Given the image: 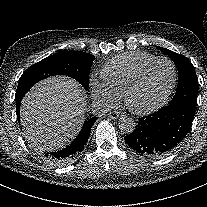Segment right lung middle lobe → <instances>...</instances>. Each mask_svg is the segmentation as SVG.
Listing matches in <instances>:
<instances>
[{"mask_svg":"<svg viewBox=\"0 0 207 207\" xmlns=\"http://www.w3.org/2000/svg\"><path fill=\"white\" fill-rule=\"evenodd\" d=\"M95 57L81 51H63L30 66L20 77L15 99L22 98L37 82L54 75H67L85 89L89 87V72Z\"/></svg>","mask_w":207,"mask_h":207,"instance_id":"dd1d6c3e","label":"right lung middle lobe"}]
</instances>
